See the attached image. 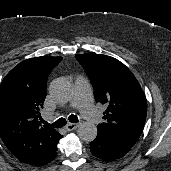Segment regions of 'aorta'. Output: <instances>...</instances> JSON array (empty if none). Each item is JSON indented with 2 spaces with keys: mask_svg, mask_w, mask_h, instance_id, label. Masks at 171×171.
<instances>
[{
  "mask_svg": "<svg viewBox=\"0 0 171 171\" xmlns=\"http://www.w3.org/2000/svg\"><path fill=\"white\" fill-rule=\"evenodd\" d=\"M52 97L59 101H68L72 94L71 85L63 79L54 80L49 88ZM78 137L85 142H92L97 137V127L91 122H83L77 130Z\"/></svg>",
  "mask_w": 171,
  "mask_h": 171,
  "instance_id": "obj_1",
  "label": "aorta"
}]
</instances>
